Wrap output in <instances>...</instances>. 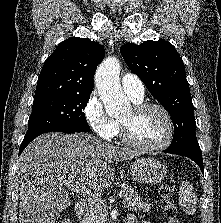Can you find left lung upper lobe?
Listing matches in <instances>:
<instances>
[{"label":"left lung upper lobe","instance_id":"left-lung-upper-lobe-1","mask_svg":"<svg viewBox=\"0 0 221 223\" xmlns=\"http://www.w3.org/2000/svg\"><path fill=\"white\" fill-rule=\"evenodd\" d=\"M120 52L131 71L170 113L174 136L169 148H200L185 66L174 46L165 40H148L140 45L124 44Z\"/></svg>","mask_w":221,"mask_h":223}]
</instances>
